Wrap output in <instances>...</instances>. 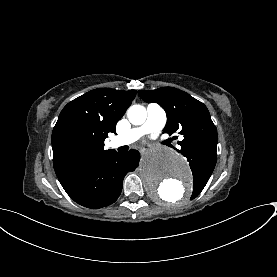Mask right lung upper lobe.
Wrapping results in <instances>:
<instances>
[{
  "mask_svg": "<svg viewBox=\"0 0 277 277\" xmlns=\"http://www.w3.org/2000/svg\"><path fill=\"white\" fill-rule=\"evenodd\" d=\"M136 96L135 90L98 88L69 102L52 132L53 165L58 179L88 161L112 150H104L108 133Z\"/></svg>",
  "mask_w": 277,
  "mask_h": 277,
  "instance_id": "right-lung-upper-lobe-1",
  "label": "right lung upper lobe"
}]
</instances>
